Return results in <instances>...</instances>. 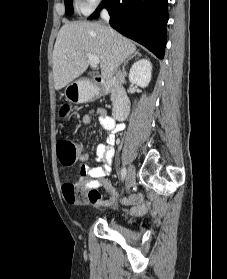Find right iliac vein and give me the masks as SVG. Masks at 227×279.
<instances>
[{
  "label": "right iliac vein",
  "mask_w": 227,
  "mask_h": 279,
  "mask_svg": "<svg viewBox=\"0 0 227 279\" xmlns=\"http://www.w3.org/2000/svg\"><path fill=\"white\" fill-rule=\"evenodd\" d=\"M134 182H135V169L132 165H130L128 168V173H127V177H126V183H125L126 189H129L130 187H132Z\"/></svg>",
  "instance_id": "right-iliac-vein-1"
}]
</instances>
